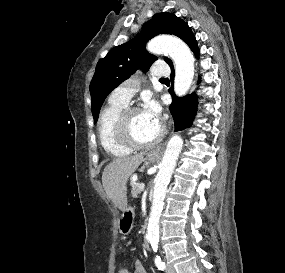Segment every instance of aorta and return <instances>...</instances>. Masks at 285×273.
<instances>
[{
    "instance_id": "aorta-1",
    "label": "aorta",
    "mask_w": 285,
    "mask_h": 273,
    "mask_svg": "<svg viewBox=\"0 0 285 273\" xmlns=\"http://www.w3.org/2000/svg\"><path fill=\"white\" fill-rule=\"evenodd\" d=\"M147 50L156 55L169 54L175 63L174 91L177 96H184L190 89L194 77V58L189 47L176 37L158 36L148 43ZM182 146L183 140L178 135L169 140L162 162L159 165V171L154 179L153 201L148 224V237L154 252L158 250L159 220L167 186Z\"/></svg>"
}]
</instances>
